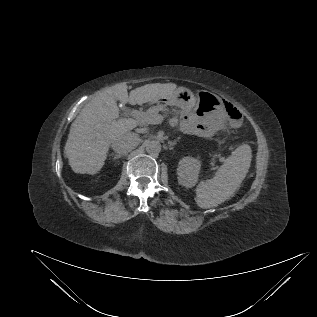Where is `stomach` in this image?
<instances>
[{
	"mask_svg": "<svg viewBox=\"0 0 317 317\" xmlns=\"http://www.w3.org/2000/svg\"><path fill=\"white\" fill-rule=\"evenodd\" d=\"M157 102L177 106L185 111H199L200 115L216 118L220 124L224 118L222 99L206 90H200L194 95L191 90L180 87L172 95L161 98Z\"/></svg>",
	"mask_w": 317,
	"mask_h": 317,
	"instance_id": "stomach-1",
	"label": "stomach"
}]
</instances>
